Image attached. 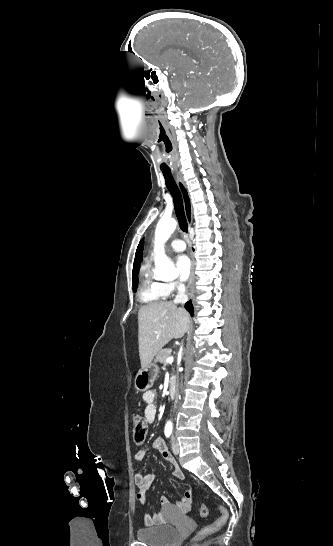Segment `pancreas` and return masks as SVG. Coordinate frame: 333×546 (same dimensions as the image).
<instances>
[{
	"instance_id": "cf45deb5",
	"label": "pancreas",
	"mask_w": 333,
	"mask_h": 546,
	"mask_svg": "<svg viewBox=\"0 0 333 546\" xmlns=\"http://www.w3.org/2000/svg\"><path fill=\"white\" fill-rule=\"evenodd\" d=\"M172 352V349L171 348H164V349H161L157 355H156V358H155V361L166 366L167 362H166V358L170 356Z\"/></svg>"
}]
</instances>
